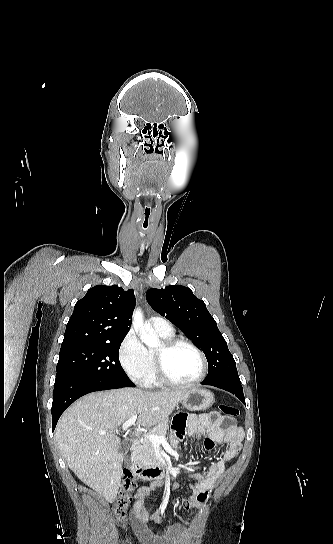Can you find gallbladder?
<instances>
[{"mask_svg": "<svg viewBox=\"0 0 333 544\" xmlns=\"http://www.w3.org/2000/svg\"><path fill=\"white\" fill-rule=\"evenodd\" d=\"M129 447H130V443H129L128 441H126V440H123V441H121V443H120L118 452H119L121 455H126L127 452H128ZM126 461H127V465H130V464H131V462H130V460H129L128 458L126 459Z\"/></svg>", "mask_w": 333, "mask_h": 544, "instance_id": "gallbladder-1", "label": "gallbladder"}]
</instances>
